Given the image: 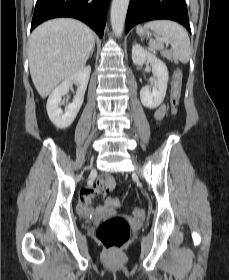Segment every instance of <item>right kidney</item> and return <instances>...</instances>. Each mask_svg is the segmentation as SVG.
Wrapping results in <instances>:
<instances>
[{
    "instance_id": "right-kidney-1",
    "label": "right kidney",
    "mask_w": 229,
    "mask_h": 280,
    "mask_svg": "<svg viewBox=\"0 0 229 280\" xmlns=\"http://www.w3.org/2000/svg\"><path fill=\"white\" fill-rule=\"evenodd\" d=\"M90 73L91 67H84L78 73L63 81L50 94L46 109L49 119L57 128L66 129L73 123L82 106ZM72 82L78 83V89L72 103L65 107V113H63L60 108L62 96L69 91Z\"/></svg>"
}]
</instances>
